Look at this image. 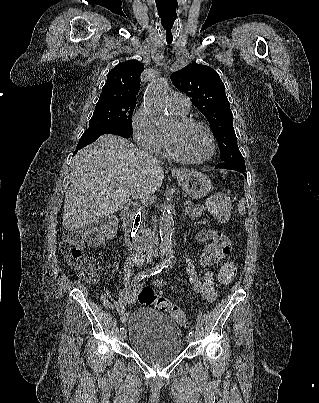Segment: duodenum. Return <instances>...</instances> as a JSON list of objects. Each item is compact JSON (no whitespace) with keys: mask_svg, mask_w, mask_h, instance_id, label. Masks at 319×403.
<instances>
[{"mask_svg":"<svg viewBox=\"0 0 319 403\" xmlns=\"http://www.w3.org/2000/svg\"><path fill=\"white\" fill-rule=\"evenodd\" d=\"M136 209L134 202H128L121 212V223L127 248L133 252L143 253L148 243L154 238V231L147 229L143 235L138 234V228L134 224Z\"/></svg>","mask_w":319,"mask_h":403,"instance_id":"1","label":"duodenum"}]
</instances>
